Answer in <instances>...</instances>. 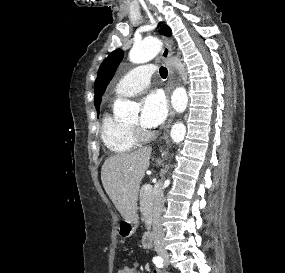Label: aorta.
I'll return each mask as SVG.
<instances>
[{"instance_id":"obj_1","label":"aorta","mask_w":285,"mask_h":273,"mask_svg":"<svg viewBox=\"0 0 285 273\" xmlns=\"http://www.w3.org/2000/svg\"><path fill=\"white\" fill-rule=\"evenodd\" d=\"M161 50V41L157 38H147L133 45L129 52L132 63L141 64L152 60ZM171 103L175 111L183 112L188 104V96L184 87L176 88L171 96ZM139 107L131 101H117L114 103L113 112L119 118H126L137 114ZM186 128L183 123L177 122L171 128L173 142L179 143L184 139Z\"/></svg>"}]
</instances>
